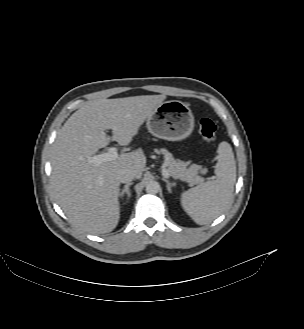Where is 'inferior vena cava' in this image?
Returning a JSON list of instances; mask_svg holds the SVG:
<instances>
[{"mask_svg": "<svg viewBox=\"0 0 304 329\" xmlns=\"http://www.w3.org/2000/svg\"><path fill=\"white\" fill-rule=\"evenodd\" d=\"M135 178L134 173L131 170L123 169L118 172V180L121 183H129Z\"/></svg>", "mask_w": 304, "mask_h": 329, "instance_id": "inferior-vena-cava-1", "label": "inferior vena cava"}]
</instances>
